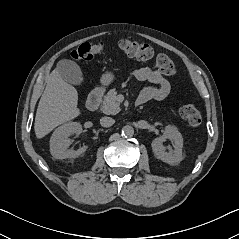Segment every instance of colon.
Wrapping results in <instances>:
<instances>
[{"label":"colon","instance_id":"5ec220e1","mask_svg":"<svg viewBox=\"0 0 239 239\" xmlns=\"http://www.w3.org/2000/svg\"><path fill=\"white\" fill-rule=\"evenodd\" d=\"M120 49L126 54L139 60H155L159 71L171 76L175 73V65L172 60L165 54H156L154 48L148 44H140L130 39H122L118 43ZM103 50V43H83L71 51L70 57L74 61H90L93 57ZM181 118L193 128H199L202 123V116L199 109L192 105L186 104L180 108Z\"/></svg>","mask_w":239,"mask_h":239}]
</instances>
